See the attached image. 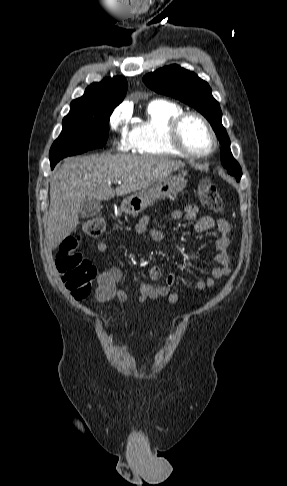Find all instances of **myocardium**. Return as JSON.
Returning a JSON list of instances; mask_svg holds the SVG:
<instances>
[{
    "label": "myocardium",
    "mask_w": 287,
    "mask_h": 486,
    "mask_svg": "<svg viewBox=\"0 0 287 486\" xmlns=\"http://www.w3.org/2000/svg\"><path fill=\"white\" fill-rule=\"evenodd\" d=\"M189 118L198 119L203 124V126L205 127L207 132L209 133L212 144H211L210 149L207 150L206 152H202V153L193 152V151L189 150L183 144L182 138H181V130H182L183 124ZM168 139H169L170 145L178 153H180L181 155H183L185 157L194 158V159L209 157L216 151V149L218 147V138H217L216 133H215L214 129L212 128L211 124L209 123V121L207 120V118L204 115H202L201 113L196 112V111H184L181 114H179L177 117H175L172 120V122L170 123V126H169Z\"/></svg>",
    "instance_id": "1"
}]
</instances>
